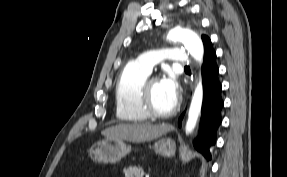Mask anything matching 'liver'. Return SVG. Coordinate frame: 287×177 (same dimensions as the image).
Here are the masks:
<instances>
[{
  "mask_svg": "<svg viewBox=\"0 0 287 177\" xmlns=\"http://www.w3.org/2000/svg\"><path fill=\"white\" fill-rule=\"evenodd\" d=\"M173 129L169 124H118L102 131L108 139H120L131 142L154 140Z\"/></svg>",
  "mask_w": 287,
  "mask_h": 177,
  "instance_id": "6515ba94",
  "label": "liver"
}]
</instances>
